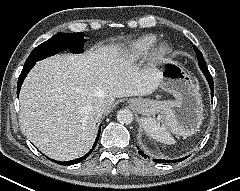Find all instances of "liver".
Here are the masks:
<instances>
[{
    "mask_svg": "<svg viewBox=\"0 0 240 191\" xmlns=\"http://www.w3.org/2000/svg\"><path fill=\"white\" fill-rule=\"evenodd\" d=\"M118 47L63 54L36 63L20 92L21 129L45 155L72 160L91 148L103 113L98 100L144 96L159 86L161 73L139 70Z\"/></svg>",
    "mask_w": 240,
    "mask_h": 191,
    "instance_id": "1",
    "label": "liver"
}]
</instances>
